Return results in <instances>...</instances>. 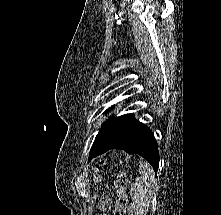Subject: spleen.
Listing matches in <instances>:
<instances>
[{"mask_svg": "<svg viewBox=\"0 0 221 215\" xmlns=\"http://www.w3.org/2000/svg\"><path fill=\"white\" fill-rule=\"evenodd\" d=\"M157 188L152 167L145 161L139 164V177L132 183L130 195L132 203L130 211L132 215H146Z\"/></svg>", "mask_w": 221, "mask_h": 215, "instance_id": "spleen-1", "label": "spleen"}]
</instances>
